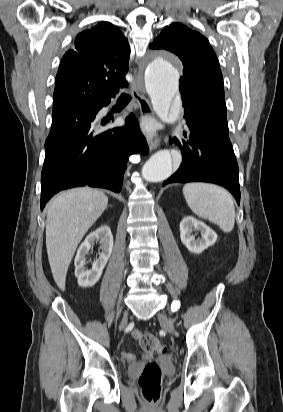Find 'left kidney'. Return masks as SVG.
<instances>
[{
  "instance_id": "obj_1",
  "label": "left kidney",
  "mask_w": 283,
  "mask_h": 412,
  "mask_svg": "<svg viewBox=\"0 0 283 412\" xmlns=\"http://www.w3.org/2000/svg\"><path fill=\"white\" fill-rule=\"evenodd\" d=\"M194 230L201 232V239H195L191 234ZM180 239L190 252L200 254L216 242L217 234L205 223L187 216L180 223Z\"/></svg>"
}]
</instances>
